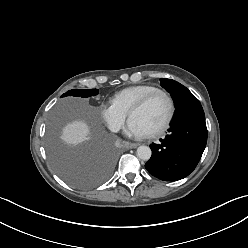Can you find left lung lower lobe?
<instances>
[{"mask_svg": "<svg viewBox=\"0 0 248 248\" xmlns=\"http://www.w3.org/2000/svg\"><path fill=\"white\" fill-rule=\"evenodd\" d=\"M206 143L203 108L199 100L189 94L176 106L169 134L159 144L150 145L152 156L145 167L161 180L183 179L197 166Z\"/></svg>", "mask_w": 248, "mask_h": 248, "instance_id": "1", "label": "left lung lower lobe"}]
</instances>
